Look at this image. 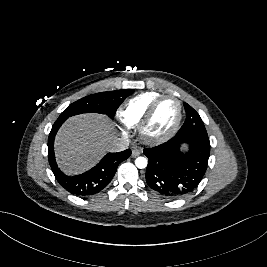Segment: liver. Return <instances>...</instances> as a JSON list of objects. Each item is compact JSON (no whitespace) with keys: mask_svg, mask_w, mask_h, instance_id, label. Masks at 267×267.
<instances>
[{"mask_svg":"<svg viewBox=\"0 0 267 267\" xmlns=\"http://www.w3.org/2000/svg\"><path fill=\"white\" fill-rule=\"evenodd\" d=\"M117 139L110 119L101 114H82L69 118L55 139L56 159L61 169L78 174L91 168Z\"/></svg>","mask_w":267,"mask_h":267,"instance_id":"liver-1","label":"liver"}]
</instances>
